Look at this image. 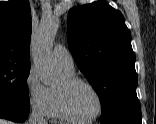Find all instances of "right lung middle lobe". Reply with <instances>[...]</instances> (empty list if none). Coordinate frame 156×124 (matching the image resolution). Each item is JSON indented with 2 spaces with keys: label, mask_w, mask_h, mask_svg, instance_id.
<instances>
[{
  "label": "right lung middle lobe",
  "mask_w": 156,
  "mask_h": 124,
  "mask_svg": "<svg viewBox=\"0 0 156 124\" xmlns=\"http://www.w3.org/2000/svg\"><path fill=\"white\" fill-rule=\"evenodd\" d=\"M30 65L0 63V96L30 103L27 78Z\"/></svg>",
  "instance_id": "1"
}]
</instances>
